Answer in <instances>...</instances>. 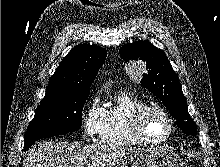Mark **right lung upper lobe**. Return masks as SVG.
Segmentation results:
<instances>
[{"label":"right lung upper lobe","mask_w":220,"mask_h":167,"mask_svg":"<svg viewBox=\"0 0 220 167\" xmlns=\"http://www.w3.org/2000/svg\"><path fill=\"white\" fill-rule=\"evenodd\" d=\"M106 55V50L99 46L90 44L75 46L51 76L43 99L74 91L90 90V85L104 63Z\"/></svg>","instance_id":"1"}]
</instances>
